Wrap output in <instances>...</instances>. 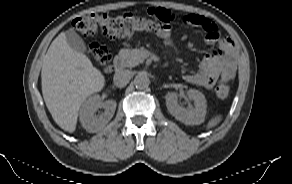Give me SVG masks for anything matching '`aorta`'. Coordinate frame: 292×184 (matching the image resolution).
<instances>
[{
    "instance_id": "obj_1",
    "label": "aorta",
    "mask_w": 292,
    "mask_h": 184,
    "mask_svg": "<svg viewBox=\"0 0 292 184\" xmlns=\"http://www.w3.org/2000/svg\"><path fill=\"white\" fill-rule=\"evenodd\" d=\"M134 85L137 89H145L149 86L150 80L145 73H138L134 78Z\"/></svg>"
}]
</instances>
